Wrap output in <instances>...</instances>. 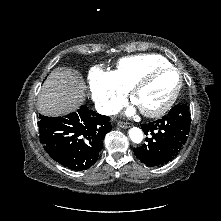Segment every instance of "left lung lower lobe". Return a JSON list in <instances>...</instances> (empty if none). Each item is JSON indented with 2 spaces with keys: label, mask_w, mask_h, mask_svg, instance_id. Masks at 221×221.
<instances>
[{
  "label": "left lung lower lobe",
  "mask_w": 221,
  "mask_h": 221,
  "mask_svg": "<svg viewBox=\"0 0 221 221\" xmlns=\"http://www.w3.org/2000/svg\"><path fill=\"white\" fill-rule=\"evenodd\" d=\"M190 123L189 107L177 104L162 119L142 124L147 142L134 148L135 156L150 167L167 164L185 144Z\"/></svg>",
  "instance_id": "obj_1"
}]
</instances>
